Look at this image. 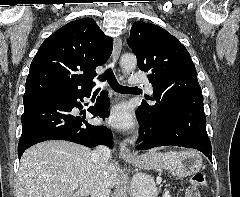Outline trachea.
<instances>
[{
  "label": "trachea",
  "instance_id": "obj_1",
  "mask_svg": "<svg viewBox=\"0 0 240 197\" xmlns=\"http://www.w3.org/2000/svg\"><path fill=\"white\" fill-rule=\"evenodd\" d=\"M100 81H105L107 80L108 83L110 84V86L118 93H124L126 91L132 90L134 89V87H127V86H122L120 85L117 80L116 77L112 71L111 68H108L103 75L100 76L99 78ZM99 92V88L95 90V94Z\"/></svg>",
  "mask_w": 240,
  "mask_h": 197
}]
</instances>
